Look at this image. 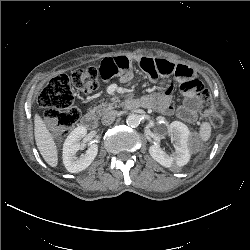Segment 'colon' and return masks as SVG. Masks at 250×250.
Masks as SVG:
<instances>
[{
    "instance_id": "colon-1",
    "label": "colon",
    "mask_w": 250,
    "mask_h": 250,
    "mask_svg": "<svg viewBox=\"0 0 250 250\" xmlns=\"http://www.w3.org/2000/svg\"><path fill=\"white\" fill-rule=\"evenodd\" d=\"M103 80L100 70L87 67L75 70L69 78L65 74L52 78L38 97L39 105L46 109V124L55 137L69 133L80 117V111L73 105V87L93 93ZM201 112L214 127L223 124V113L216 110L209 91L202 89L199 94Z\"/></svg>"
}]
</instances>
